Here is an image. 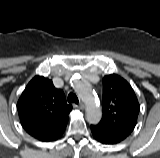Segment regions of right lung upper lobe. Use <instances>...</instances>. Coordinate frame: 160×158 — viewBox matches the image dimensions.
<instances>
[{"label": "right lung upper lobe", "instance_id": "obj_1", "mask_svg": "<svg viewBox=\"0 0 160 158\" xmlns=\"http://www.w3.org/2000/svg\"><path fill=\"white\" fill-rule=\"evenodd\" d=\"M17 110L25 131L34 138L53 141L63 134L72 105L64 92L43 76H35L21 94Z\"/></svg>", "mask_w": 160, "mask_h": 158}]
</instances>
